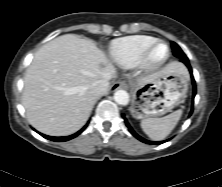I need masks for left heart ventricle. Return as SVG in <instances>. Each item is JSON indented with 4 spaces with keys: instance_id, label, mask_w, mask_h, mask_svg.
Wrapping results in <instances>:
<instances>
[{
    "instance_id": "b2bd125f",
    "label": "left heart ventricle",
    "mask_w": 222,
    "mask_h": 187,
    "mask_svg": "<svg viewBox=\"0 0 222 187\" xmlns=\"http://www.w3.org/2000/svg\"><path fill=\"white\" fill-rule=\"evenodd\" d=\"M165 52H166L165 46H164V45H159V46L156 48V50H155L154 56H155L156 58H160V57H162V56L165 54Z\"/></svg>"
}]
</instances>
